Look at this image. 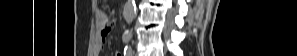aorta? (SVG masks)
<instances>
[{
    "mask_svg": "<svg viewBox=\"0 0 297 56\" xmlns=\"http://www.w3.org/2000/svg\"><path fill=\"white\" fill-rule=\"evenodd\" d=\"M135 15H136L135 0H127L123 9V16L125 21L128 24L132 23L133 19L135 18Z\"/></svg>",
    "mask_w": 297,
    "mask_h": 56,
    "instance_id": "762f6f07",
    "label": "aorta"
}]
</instances>
